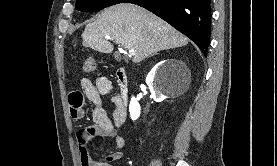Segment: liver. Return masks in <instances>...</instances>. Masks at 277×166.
<instances>
[{
	"label": "liver",
	"mask_w": 277,
	"mask_h": 166,
	"mask_svg": "<svg viewBox=\"0 0 277 166\" xmlns=\"http://www.w3.org/2000/svg\"><path fill=\"white\" fill-rule=\"evenodd\" d=\"M113 42L134 50L132 61L139 63L147 57L188 44V39L167 22L134 5L121 3L104 9L82 33V44L101 53H111Z\"/></svg>",
	"instance_id": "1"
}]
</instances>
